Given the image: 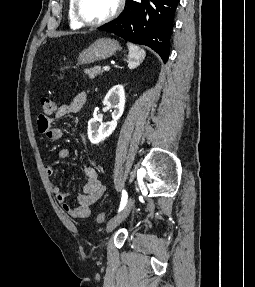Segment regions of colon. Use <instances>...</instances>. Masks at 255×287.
Wrapping results in <instances>:
<instances>
[{
	"instance_id": "1",
	"label": "colon",
	"mask_w": 255,
	"mask_h": 287,
	"mask_svg": "<svg viewBox=\"0 0 255 287\" xmlns=\"http://www.w3.org/2000/svg\"><path fill=\"white\" fill-rule=\"evenodd\" d=\"M41 105H42L43 111L46 115H51L56 111L55 102L49 98H42L41 99ZM107 218H108L107 213H99L96 215L95 221L97 223H103L106 221Z\"/></svg>"
}]
</instances>
